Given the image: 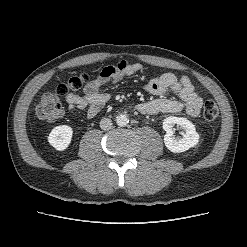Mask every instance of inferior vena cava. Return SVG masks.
<instances>
[{
	"label": "inferior vena cava",
	"instance_id": "obj_1",
	"mask_svg": "<svg viewBox=\"0 0 247 247\" xmlns=\"http://www.w3.org/2000/svg\"><path fill=\"white\" fill-rule=\"evenodd\" d=\"M112 127V120L109 118H103L100 121V128L102 130H109Z\"/></svg>",
	"mask_w": 247,
	"mask_h": 247
}]
</instances>
